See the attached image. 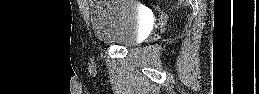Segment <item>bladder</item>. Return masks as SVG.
I'll return each mask as SVG.
<instances>
[{
    "label": "bladder",
    "instance_id": "bladder-1",
    "mask_svg": "<svg viewBox=\"0 0 259 94\" xmlns=\"http://www.w3.org/2000/svg\"><path fill=\"white\" fill-rule=\"evenodd\" d=\"M89 18L104 44L132 47L139 43L144 19L141 9L128 1H91Z\"/></svg>",
    "mask_w": 259,
    "mask_h": 94
}]
</instances>
